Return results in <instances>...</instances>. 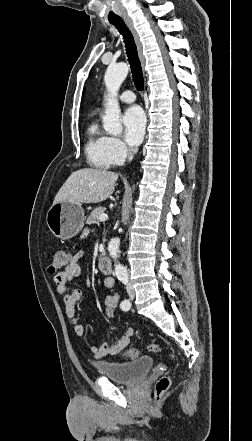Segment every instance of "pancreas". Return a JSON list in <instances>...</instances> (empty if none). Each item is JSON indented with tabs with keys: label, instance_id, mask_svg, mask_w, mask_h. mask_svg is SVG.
Returning <instances> with one entry per match:
<instances>
[{
	"label": "pancreas",
	"instance_id": "cf45deb5",
	"mask_svg": "<svg viewBox=\"0 0 252 441\" xmlns=\"http://www.w3.org/2000/svg\"><path fill=\"white\" fill-rule=\"evenodd\" d=\"M105 208L104 207H98V208H95L92 212H91V214H90V216H89V218H88V221L89 222H91V223H97V222H99L100 221V215L101 214H104V212H105Z\"/></svg>",
	"mask_w": 252,
	"mask_h": 441
}]
</instances>
